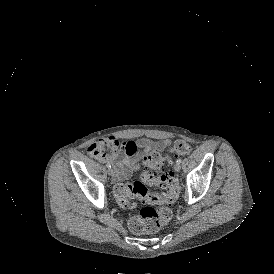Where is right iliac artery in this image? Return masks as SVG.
<instances>
[{
  "label": "right iliac artery",
  "instance_id": "right-iliac-artery-1",
  "mask_svg": "<svg viewBox=\"0 0 274 274\" xmlns=\"http://www.w3.org/2000/svg\"><path fill=\"white\" fill-rule=\"evenodd\" d=\"M106 166H107L108 168H111V165H110V164H107Z\"/></svg>",
  "mask_w": 274,
  "mask_h": 274
}]
</instances>
